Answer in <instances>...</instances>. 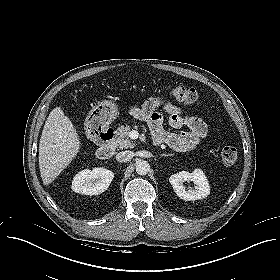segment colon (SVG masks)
I'll list each match as a JSON object with an SVG mask.
<instances>
[{
  "label": "colon",
  "instance_id": "obj_1",
  "mask_svg": "<svg viewBox=\"0 0 280 280\" xmlns=\"http://www.w3.org/2000/svg\"><path fill=\"white\" fill-rule=\"evenodd\" d=\"M165 88L167 94L185 104H195L198 101L199 94L194 87L167 83ZM237 156L238 152L232 146H226L221 151L222 162L227 166L233 165L237 160Z\"/></svg>",
  "mask_w": 280,
  "mask_h": 280
}]
</instances>
